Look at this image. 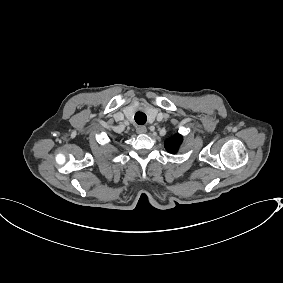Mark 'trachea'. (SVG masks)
I'll use <instances>...</instances> for the list:
<instances>
[{"label": "trachea", "mask_w": 283, "mask_h": 283, "mask_svg": "<svg viewBox=\"0 0 283 283\" xmlns=\"http://www.w3.org/2000/svg\"><path fill=\"white\" fill-rule=\"evenodd\" d=\"M135 121L137 124H145L146 120H147V116L145 113H143L142 111H138L135 114Z\"/></svg>", "instance_id": "trachea-1"}]
</instances>
